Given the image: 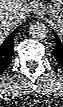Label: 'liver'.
Wrapping results in <instances>:
<instances>
[{"instance_id":"liver-1","label":"liver","mask_w":63,"mask_h":107,"mask_svg":"<svg viewBox=\"0 0 63 107\" xmlns=\"http://www.w3.org/2000/svg\"><path fill=\"white\" fill-rule=\"evenodd\" d=\"M26 0H0V41H3L11 29L22 23L28 13ZM15 16L17 22L14 25L8 23V18Z\"/></svg>"}]
</instances>
